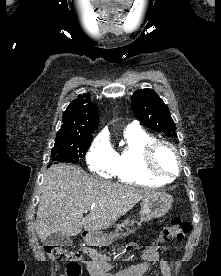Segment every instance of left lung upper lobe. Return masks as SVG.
I'll list each match as a JSON object with an SVG mask.
<instances>
[{"instance_id":"5c2ea615","label":"left lung upper lobe","mask_w":221,"mask_h":276,"mask_svg":"<svg viewBox=\"0 0 221 276\" xmlns=\"http://www.w3.org/2000/svg\"><path fill=\"white\" fill-rule=\"evenodd\" d=\"M131 107L135 116L150 129L170 137L176 134V125L169 109L155 91L141 89L134 92Z\"/></svg>"}]
</instances>
